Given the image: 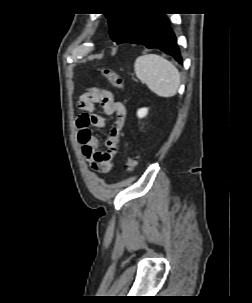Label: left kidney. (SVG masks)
I'll return each instance as SVG.
<instances>
[{"label": "left kidney", "mask_w": 252, "mask_h": 303, "mask_svg": "<svg viewBox=\"0 0 252 303\" xmlns=\"http://www.w3.org/2000/svg\"><path fill=\"white\" fill-rule=\"evenodd\" d=\"M147 113H148V109L147 108H141V109H139L137 111V116L139 118H143V117H145L147 115Z\"/></svg>", "instance_id": "obj_1"}]
</instances>
